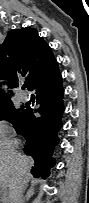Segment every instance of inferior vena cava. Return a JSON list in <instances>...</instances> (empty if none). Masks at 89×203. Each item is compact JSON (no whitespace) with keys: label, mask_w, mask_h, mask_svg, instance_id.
Wrapping results in <instances>:
<instances>
[{"label":"inferior vena cava","mask_w":89,"mask_h":203,"mask_svg":"<svg viewBox=\"0 0 89 203\" xmlns=\"http://www.w3.org/2000/svg\"><path fill=\"white\" fill-rule=\"evenodd\" d=\"M25 184H26V180H24L23 182L20 183L19 190L16 194L15 203H23L22 193H23V190L25 188Z\"/></svg>","instance_id":"inferior-vena-cava-1"}]
</instances>
